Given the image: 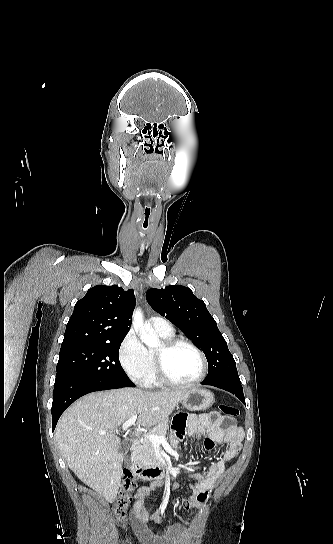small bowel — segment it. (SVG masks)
I'll return each instance as SVG.
<instances>
[{"label": "small bowel", "instance_id": "obj_1", "mask_svg": "<svg viewBox=\"0 0 333 544\" xmlns=\"http://www.w3.org/2000/svg\"><path fill=\"white\" fill-rule=\"evenodd\" d=\"M225 422H228V425H225ZM186 434L195 437L207 435L204 447L208 451L213 450L217 443L227 444L223 454L216 461L212 462L204 473L193 474L194 482L190 484L192 495L188 500L181 502L183 508L189 509L202 505L224 474L226 464L239 454L243 431L233 423L232 419H225L219 413L213 412L210 414L188 415L177 418L172 426L171 444L176 447ZM159 486L160 482H153L149 487H143L137 492L136 501L131 512L133 531L142 544L186 543L188 532L183 525L175 524L158 535H154L147 526V513L144 509V500L152 490Z\"/></svg>", "mask_w": 333, "mask_h": 544}]
</instances>
